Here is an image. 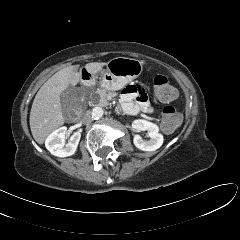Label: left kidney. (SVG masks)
Instances as JSON below:
<instances>
[{"label":"left kidney","mask_w":240,"mask_h":240,"mask_svg":"<svg viewBox=\"0 0 240 240\" xmlns=\"http://www.w3.org/2000/svg\"><path fill=\"white\" fill-rule=\"evenodd\" d=\"M132 129L135 132L147 131L149 140H144L140 135H135L134 145L142 151H155L163 144V135L159 133V128L156 124L143 119L134 120Z\"/></svg>","instance_id":"5707ae66"}]
</instances>
